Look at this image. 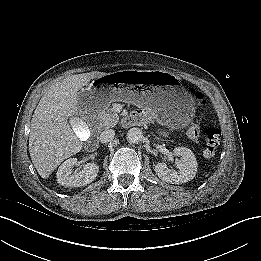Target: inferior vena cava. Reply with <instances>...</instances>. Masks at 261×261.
I'll return each mask as SVG.
<instances>
[{
	"label": "inferior vena cava",
	"instance_id": "obj_1",
	"mask_svg": "<svg viewBox=\"0 0 261 261\" xmlns=\"http://www.w3.org/2000/svg\"><path fill=\"white\" fill-rule=\"evenodd\" d=\"M114 136H115V131L113 129H107L100 134L99 140L102 143H107L111 141L114 138Z\"/></svg>",
	"mask_w": 261,
	"mask_h": 261
}]
</instances>
